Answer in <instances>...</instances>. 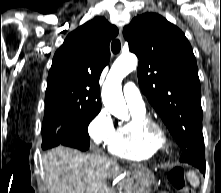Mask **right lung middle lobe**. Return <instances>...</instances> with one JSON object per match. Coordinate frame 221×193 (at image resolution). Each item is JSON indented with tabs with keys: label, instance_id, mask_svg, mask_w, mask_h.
I'll use <instances>...</instances> for the list:
<instances>
[{
	"label": "right lung middle lobe",
	"instance_id": "obj_1",
	"mask_svg": "<svg viewBox=\"0 0 221 193\" xmlns=\"http://www.w3.org/2000/svg\"><path fill=\"white\" fill-rule=\"evenodd\" d=\"M100 110L88 112H45L42 126V148L59 144L87 150L89 135L87 126Z\"/></svg>",
	"mask_w": 221,
	"mask_h": 193
}]
</instances>
